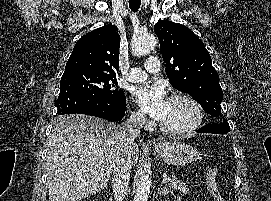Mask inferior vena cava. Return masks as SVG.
I'll return each mask as SVG.
<instances>
[{
    "label": "inferior vena cava",
    "mask_w": 271,
    "mask_h": 201,
    "mask_svg": "<svg viewBox=\"0 0 271 201\" xmlns=\"http://www.w3.org/2000/svg\"><path fill=\"white\" fill-rule=\"evenodd\" d=\"M145 123L143 112L132 113L117 127V139L121 147L120 155L115 159L112 172V188L115 201H123L126 196L131 173V146L140 134Z\"/></svg>",
    "instance_id": "obj_1"
}]
</instances>
